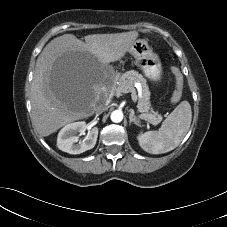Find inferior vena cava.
<instances>
[{"label":"inferior vena cava","instance_id":"obj_1","mask_svg":"<svg viewBox=\"0 0 227 227\" xmlns=\"http://www.w3.org/2000/svg\"><path fill=\"white\" fill-rule=\"evenodd\" d=\"M105 110H107L106 104H97V105H95V112H96V114H101Z\"/></svg>","mask_w":227,"mask_h":227}]
</instances>
